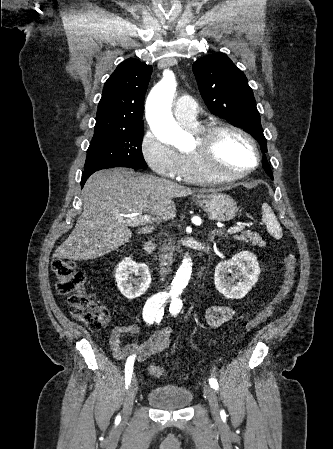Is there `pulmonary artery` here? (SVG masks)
Masks as SVG:
<instances>
[{
    "mask_svg": "<svg viewBox=\"0 0 333 449\" xmlns=\"http://www.w3.org/2000/svg\"><path fill=\"white\" fill-rule=\"evenodd\" d=\"M175 118L183 125L194 127L197 124V105L190 96L180 97L174 107Z\"/></svg>",
    "mask_w": 333,
    "mask_h": 449,
    "instance_id": "1",
    "label": "pulmonary artery"
}]
</instances>
